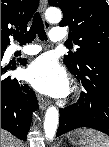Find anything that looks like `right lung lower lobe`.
<instances>
[{"label":"right lung lower lobe","mask_w":109,"mask_h":147,"mask_svg":"<svg viewBox=\"0 0 109 147\" xmlns=\"http://www.w3.org/2000/svg\"><path fill=\"white\" fill-rule=\"evenodd\" d=\"M3 54H1L2 60ZM20 64L25 65L26 59ZM16 66H1V128L25 141L31 124V114L38 108L34 91L26 84L12 80L5 73Z\"/></svg>","instance_id":"right-lung-lower-lobe-1"}]
</instances>
